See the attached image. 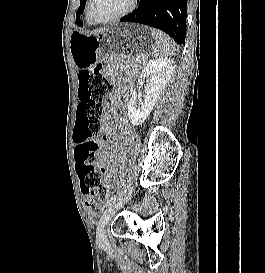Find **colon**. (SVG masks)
<instances>
[{
  "label": "colon",
  "instance_id": "colon-1",
  "mask_svg": "<svg viewBox=\"0 0 265 273\" xmlns=\"http://www.w3.org/2000/svg\"><path fill=\"white\" fill-rule=\"evenodd\" d=\"M78 81L79 106L72 134V139L78 143L74 149L75 170L81 190L88 196L87 206L94 208L108 193L105 180L95 167V161L97 153L106 146V141L97 136L106 114L105 97L111 92L112 85L101 73L99 65L94 69H81Z\"/></svg>",
  "mask_w": 265,
  "mask_h": 273
}]
</instances>
